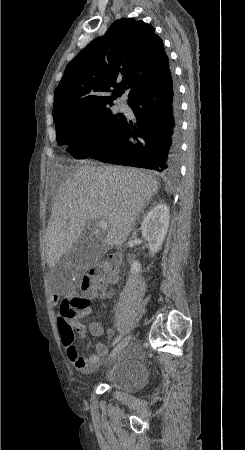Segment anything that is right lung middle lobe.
<instances>
[{"mask_svg":"<svg viewBox=\"0 0 245 450\" xmlns=\"http://www.w3.org/2000/svg\"><path fill=\"white\" fill-rule=\"evenodd\" d=\"M60 144H69L74 158H87L107 148L117 138L126 118L108 106L78 110L72 106L53 109Z\"/></svg>","mask_w":245,"mask_h":450,"instance_id":"obj_1","label":"right lung middle lobe"}]
</instances>
